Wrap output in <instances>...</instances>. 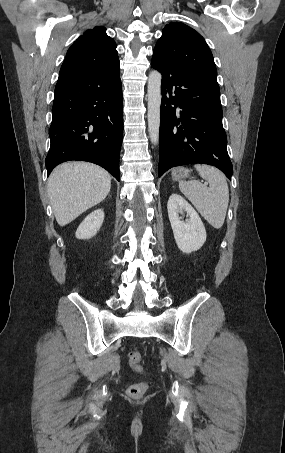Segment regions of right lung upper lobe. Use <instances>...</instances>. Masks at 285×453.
<instances>
[{
	"label": "right lung upper lobe",
	"instance_id": "1",
	"mask_svg": "<svg viewBox=\"0 0 285 453\" xmlns=\"http://www.w3.org/2000/svg\"><path fill=\"white\" fill-rule=\"evenodd\" d=\"M120 68L116 44L106 34V28L96 26L80 36L68 49L60 73L111 72Z\"/></svg>",
	"mask_w": 285,
	"mask_h": 453
}]
</instances>
